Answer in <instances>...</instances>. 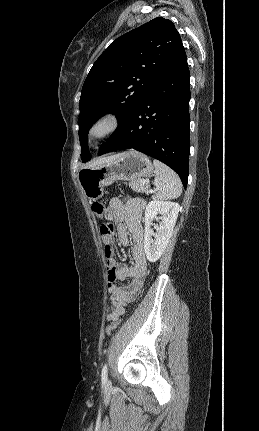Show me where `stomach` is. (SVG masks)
Instances as JSON below:
<instances>
[{
  "mask_svg": "<svg viewBox=\"0 0 259 431\" xmlns=\"http://www.w3.org/2000/svg\"><path fill=\"white\" fill-rule=\"evenodd\" d=\"M154 167L143 153L131 150L113 160L93 167L82 168L78 181L84 195L91 201L104 194V187L118 180L133 181L153 174Z\"/></svg>",
  "mask_w": 259,
  "mask_h": 431,
  "instance_id": "obj_1",
  "label": "stomach"
}]
</instances>
